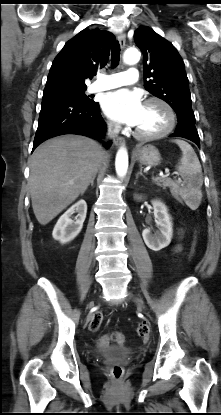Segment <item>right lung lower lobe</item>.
Returning <instances> with one entry per match:
<instances>
[{
    "mask_svg": "<svg viewBox=\"0 0 221 415\" xmlns=\"http://www.w3.org/2000/svg\"><path fill=\"white\" fill-rule=\"evenodd\" d=\"M106 124L99 103H84L64 98L42 99L33 150L45 140L63 135L80 134L100 139ZM109 148L111 142L104 144Z\"/></svg>",
    "mask_w": 221,
    "mask_h": 415,
    "instance_id": "1",
    "label": "right lung lower lobe"
}]
</instances>
